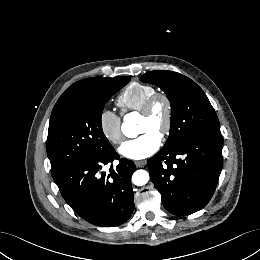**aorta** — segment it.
Here are the masks:
<instances>
[{"instance_id": "aorta-1", "label": "aorta", "mask_w": 260, "mask_h": 260, "mask_svg": "<svg viewBox=\"0 0 260 260\" xmlns=\"http://www.w3.org/2000/svg\"><path fill=\"white\" fill-rule=\"evenodd\" d=\"M122 132L125 136L129 138H135L139 134L138 126L136 122L129 116L124 118L122 124ZM149 181V173L146 170H137L132 175V182L136 186H143Z\"/></svg>"}]
</instances>
